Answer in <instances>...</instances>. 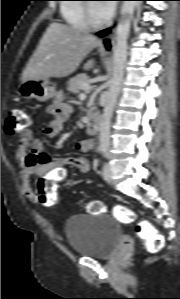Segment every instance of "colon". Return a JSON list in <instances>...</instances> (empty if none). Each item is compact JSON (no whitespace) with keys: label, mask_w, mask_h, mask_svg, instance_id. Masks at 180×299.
<instances>
[{"label":"colon","mask_w":180,"mask_h":299,"mask_svg":"<svg viewBox=\"0 0 180 299\" xmlns=\"http://www.w3.org/2000/svg\"><path fill=\"white\" fill-rule=\"evenodd\" d=\"M29 126V115L20 108H12L8 111L4 130L7 135L15 136ZM38 201L46 206L52 207L58 201V190L56 182L48 181L41 184L37 190ZM87 212L99 214L103 212L102 203L97 201L88 202L85 205ZM115 216L125 224L133 223L136 219L135 213L122 205H117L114 209ZM135 231L141 237L147 249L152 253L160 252L164 247V236L156 229L149 220H141L136 223Z\"/></svg>","instance_id":"colon-1"}]
</instances>
